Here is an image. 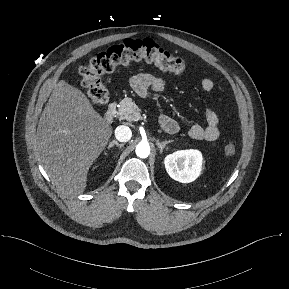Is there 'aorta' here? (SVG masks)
<instances>
[{"label": "aorta", "mask_w": 289, "mask_h": 289, "mask_svg": "<svg viewBox=\"0 0 289 289\" xmlns=\"http://www.w3.org/2000/svg\"><path fill=\"white\" fill-rule=\"evenodd\" d=\"M150 154V146L148 143L141 142L136 147V155L140 158H147Z\"/></svg>", "instance_id": "762f6f07"}]
</instances>
